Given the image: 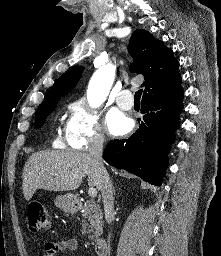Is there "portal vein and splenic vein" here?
Masks as SVG:
<instances>
[{"mask_svg": "<svg viewBox=\"0 0 221 256\" xmlns=\"http://www.w3.org/2000/svg\"><path fill=\"white\" fill-rule=\"evenodd\" d=\"M88 194L90 197H96L97 196V190L94 187L89 188Z\"/></svg>", "mask_w": 221, "mask_h": 256, "instance_id": "18ae733b", "label": "portal vein and splenic vein"}]
</instances>
